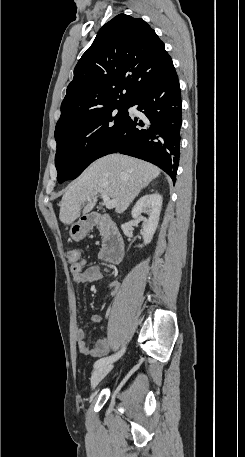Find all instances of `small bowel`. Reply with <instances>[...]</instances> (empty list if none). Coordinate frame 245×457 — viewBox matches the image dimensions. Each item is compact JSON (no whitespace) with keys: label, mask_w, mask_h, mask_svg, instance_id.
<instances>
[{"label":"small bowel","mask_w":245,"mask_h":457,"mask_svg":"<svg viewBox=\"0 0 245 457\" xmlns=\"http://www.w3.org/2000/svg\"><path fill=\"white\" fill-rule=\"evenodd\" d=\"M72 277L76 283L84 284L89 282L99 281L102 278V271L99 266H91L83 271L72 270ZM120 287L118 281H113L109 285V293L114 294ZM90 320L94 323H99L101 318L98 316H92ZM76 344L81 354L91 357H101L108 354L112 350L116 349L119 345L118 336L114 335L112 331H109L107 335L99 339L94 347H89L86 342L85 331L82 328H77L75 332Z\"/></svg>","instance_id":"obj_1"}]
</instances>
